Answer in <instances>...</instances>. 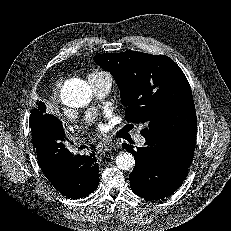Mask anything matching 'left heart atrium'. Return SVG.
<instances>
[{
  "label": "left heart atrium",
  "mask_w": 231,
  "mask_h": 231,
  "mask_svg": "<svg viewBox=\"0 0 231 231\" xmlns=\"http://www.w3.org/2000/svg\"><path fill=\"white\" fill-rule=\"evenodd\" d=\"M97 127H98L100 130H104V129H105V125H103L102 123H97Z\"/></svg>",
  "instance_id": "left-heart-atrium-1"
}]
</instances>
